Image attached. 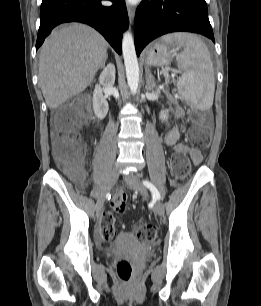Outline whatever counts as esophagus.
I'll return each mask as SVG.
<instances>
[{
	"mask_svg": "<svg viewBox=\"0 0 261 306\" xmlns=\"http://www.w3.org/2000/svg\"><path fill=\"white\" fill-rule=\"evenodd\" d=\"M127 12H128V17H129L130 23H132L133 20H134V16H135V9H134V7L128 6L127 7Z\"/></svg>",
	"mask_w": 261,
	"mask_h": 306,
	"instance_id": "obj_1",
	"label": "esophagus"
}]
</instances>
